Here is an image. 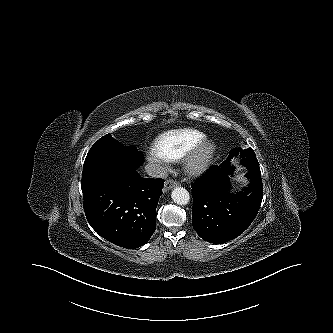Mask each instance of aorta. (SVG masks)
<instances>
[{
    "instance_id": "obj_1",
    "label": "aorta",
    "mask_w": 333,
    "mask_h": 333,
    "mask_svg": "<svg viewBox=\"0 0 333 333\" xmlns=\"http://www.w3.org/2000/svg\"><path fill=\"white\" fill-rule=\"evenodd\" d=\"M172 200L178 205H186L190 201L189 192L183 187H176L171 193Z\"/></svg>"
}]
</instances>
